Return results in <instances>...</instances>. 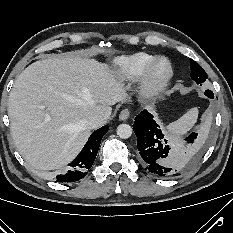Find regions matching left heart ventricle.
Wrapping results in <instances>:
<instances>
[{"label":"left heart ventricle","instance_id":"b2bd125f","mask_svg":"<svg viewBox=\"0 0 233 233\" xmlns=\"http://www.w3.org/2000/svg\"><path fill=\"white\" fill-rule=\"evenodd\" d=\"M167 68L165 64H162L157 69V74L162 75L166 72Z\"/></svg>","mask_w":233,"mask_h":233}]
</instances>
